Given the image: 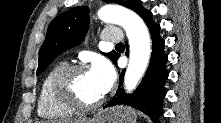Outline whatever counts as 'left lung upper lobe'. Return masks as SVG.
Returning a JSON list of instances; mask_svg holds the SVG:
<instances>
[{
  "instance_id": "obj_1",
  "label": "left lung upper lobe",
  "mask_w": 221,
  "mask_h": 123,
  "mask_svg": "<svg viewBox=\"0 0 221 123\" xmlns=\"http://www.w3.org/2000/svg\"><path fill=\"white\" fill-rule=\"evenodd\" d=\"M108 3H117L136 13L142 8L140 0H107ZM89 10L85 6L74 7L57 16L49 25L47 35L42 44L37 75L63 51L81 43L87 32ZM103 55L115 60L117 52L111 51Z\"/></svg>"
}]
</instances>
